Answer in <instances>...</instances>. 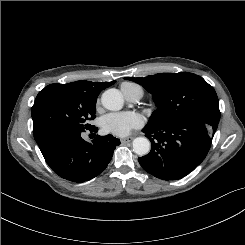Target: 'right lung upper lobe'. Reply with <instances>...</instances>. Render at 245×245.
<instances>
[{
  "label": "right lung upper lobe",
  "mask_w": 245,
  "mask_h": 245,
  "mask_svg": "<svg viewBox=\"0 0 245 245\" xmlns=\"http://www.w3.org/2000/svg\"><path fill=\"white\" fill-rule=\"evenodd\" d=\"M115 83V81L112 82H90V81H76V82H72V83H68L69 85L76 87L80 90H83L84 92L88 93V94H92L98 97L99 93L113 85Z\"/></svg>",
  "instance_id": "obj_1"
}]
</instances>
